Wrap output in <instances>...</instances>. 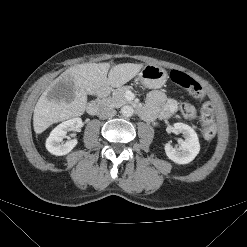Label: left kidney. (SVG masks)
<instances>
[{
	"mask_svg": "<svg viewBox=\"0 0 247 247\" xmlns=\"http://www.w3.org/2000/svg\"><path fill=\"white\" fill-rule=\"evenodd\" d=\"M171 131L183 134L184 140L180 142L178 148H173L167 143L165 145L167 157L177 164L190 163L200 151V143L196 132L193 128L184 123H175Z\"/></svg>",
	"mask_w": 247,
	"mask_h": 247,
	"instance_id": "1",
	"label": "left kidney"
}]
</instances>
